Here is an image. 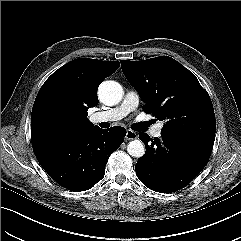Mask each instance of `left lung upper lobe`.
Wrapping results in <instances>:
<instances>
[{"label": "left lung upper lobe", "mask_w": 241, "mask_h": 241, "mask_svg": "<svg viewBox=\"0 0 241 241\" xmlns=\"http://www.w3.org/2000/svg\"><path fill=\"white\" fill-rule=\"evenodd\" d=\"M121 67L145 102L144 111L166 121L162 132L214 142L213 105L192 72L168 56L121 60Z\"/></svg>", "instance_id": "5c2ea615"}]
</instances>
